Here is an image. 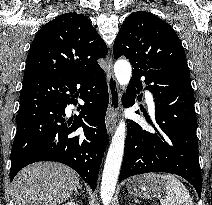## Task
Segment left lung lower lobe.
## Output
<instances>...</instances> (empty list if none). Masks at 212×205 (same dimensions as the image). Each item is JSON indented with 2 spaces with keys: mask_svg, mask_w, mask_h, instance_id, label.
I'll return each instance as SVG.
<instances>
[{
  "mask_svg": "<svg viewBox=\"0 0 212 205\" xmlns=\"http://www.w3.org/2000/svg\"><path fill=\"white\" fill-rule=\"evenodd\" d=\"M141 78L155 98L158 127L149 132L129 121L119 182L137 174L168 172L189 181L200 197L197 119L190 77L166 69L133 72L128 88L132 102L141 91Z\"/></svg>",
  "mask_w": 212,
  "mask_h": 205,
  "instance_id": "left-lung-lower-lobe-1",
  "label": "left lung lower lobe"
}]
</instances>
